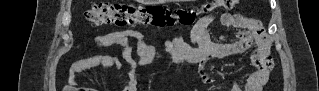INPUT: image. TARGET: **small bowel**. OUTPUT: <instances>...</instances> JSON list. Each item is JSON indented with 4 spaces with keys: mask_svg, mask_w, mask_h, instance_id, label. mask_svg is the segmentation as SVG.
<instances>
[{
    "mask_svg": "<svg viewBox=\"0 0 319 91\" xmlns=\"http://www.w3.org/2000/svg\"><path fill=\"white\" fill-rule=\"evenodd\" d=\"M213 21V16L202 17L192 28L189 42L181 34H177L166 41L165 50L162 52L156 51L145 37L135 30L127 29L104 34L97 38L96 45L119 46L122 59L110 55H97L79 60L72 65L70 82L76 84L80 73L85 70L93 68L123 70L126 64L123 91H137V70L141 66L164 60L176 66L196 64L202 81L212 84L215 82V77L210 70L211 60L240 55L253 48L251 61L254 70L246 77L243 87L239 83H234L231 91H260L268 80L269 70L257 61L261 52L269 45V40L259 22L239 14L224 13L221 17L222 25L228 29L239 30V35L230 41L223 37L213 41L209 34V27ZM131 40L138 43L139 59H135L132 55Z\"/></svg>",
    "mask_w": 319,
    "mask_h": 91,
    "instance_id": "small-bowel-1",
    "label": "small bowel"
}]
</instances>
